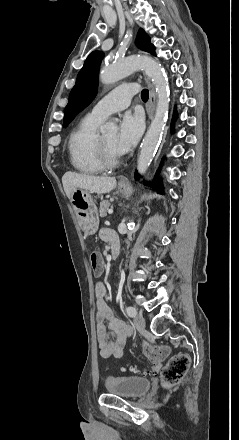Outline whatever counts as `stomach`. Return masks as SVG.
<instances>
[{"label":"stomach","mask_w":239,"mask_h":440,"mask_svg":"<svg viewBox=\"0 0 239 440\" xmlns=\"http://www.w3.org/2000/svg\"><path fill=\"white\" fill-rule=\"evenodd\" d=\"M120 194L131 192V188H119ZM71 206L77 216L80 230L86 236L96 234L99 226V216L97 206L93 202V198L88 190H75L71 196Z\"/></svg>","instance_id":"1"}]
</instances>
